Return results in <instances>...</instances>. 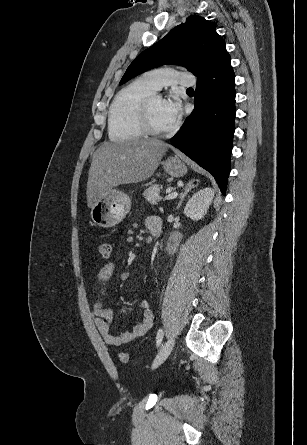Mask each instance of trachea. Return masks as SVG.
<instances>
[{"label":"trachea","instance_id":"obj_1","mask_svg":"<svg viewBox=\"0 0 307 445\" xmlns=\"http://www.w3.org/2000/svg\"><path fill=\"white\" fill-rule=\"evenodd\" d=\"M188 90H193V88H189Z\"/></svg>","mask_w":307,"mask_h":445}]
</instances>
